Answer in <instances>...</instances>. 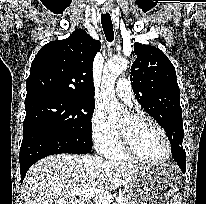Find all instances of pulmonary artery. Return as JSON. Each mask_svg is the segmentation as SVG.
<instances>
[{
	"label": "pulmonary artery",
	"instance_id": "obj_1",
	"mask_svg": "<svg viewBox=\"0 0 206 204\" xmlns=\"http://www.w3.org/2000/svg\"><path fill=\"white\" fill-rule=\"evenodd\" d=\"M115 92L125 103L131 104L133 99V90L131 83L126 78H121L117 81Z\"/></svg>",
	"mask_w": 206,
	"mask_h": 204
}]
</instances>
